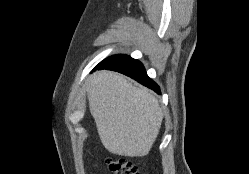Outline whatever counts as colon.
<instances>
[{"label":"colon","mask_w":249,"mask_h":174,"mask_svg":"<svg viewBox=\"0 0 249 174\" xmlns=\"http://www.w3.org/2000/svg\"><path fill=\"white\" fill-rule=\"evenodd\" d=\"M106 164L112 174H139L138 168L125 157L108 158Z\"/></svg>","instance_id":"colon-1"}]
</instances>
